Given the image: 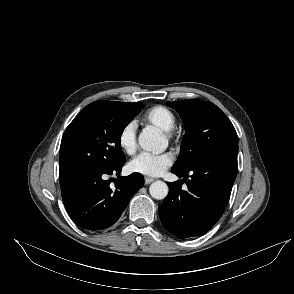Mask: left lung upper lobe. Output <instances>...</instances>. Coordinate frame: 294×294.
Listing matches in <instances>:
<instances>
[{"instance_id":"obj_1","label":"left lung upper lobe","mask_w":294,"mask_h":294,"mask_svg":"<svg viewBox=\"0 0 294 294\" xmlns=\"http://www.w3.org/2000/svg\"><path fill=\"white\" fill-rule=\"evenodd\" d=\"M166 104L180 114L186 130L173 170L189 171L214 151L238 144L234 126L213 103L193 99Z\"/></svg>"}]
</instances>
